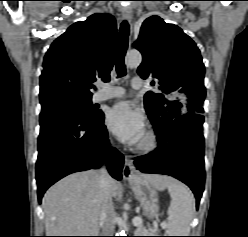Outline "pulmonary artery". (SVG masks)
I'll return each instance as SVG.
<instances>
[{"label": "pulmonary artery", "mask_w": 248, "mask_h": 237, "mask_svg": "<svg viewBox=\"0 0 248 237\" xmlns=\"http://www.w3.org/2000/svg\"><path fill=\"white\" fill-rule=\"evenodd\" d=\"M143 81L139 77L132 79V87L136 90H139L143 87ZM125 95V89L122 87H111L110 90H102L95 94L94 101L102 102L111 98H118Z\"/></svg>", "instance_id": "e3ab8cb5"}]
</instances>
